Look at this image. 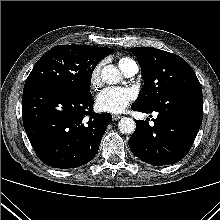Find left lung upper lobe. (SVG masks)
Here are the masks:
<instances>
[{"instance_id":"left-lung-upper-lobe-1","label":"left lung upper lobe","mask_w":220,"mask_h":220,"mask_svg":"<svg viewBox=\"0 0 220 220\" xmlns=\"http://www.w3.org/2000/svg\"><path fill=\"white\" fill-rule=\"evenodd\" d=\"M130 51L137 57L146 81L133 104L152 107L183 90L201 88L194 70L180 56L153 47H135Z\"/></svg>"}]
</instances>
